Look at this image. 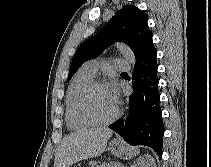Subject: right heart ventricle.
<instances>
[{"label": "right heart ventricle", "instance_id": "obj_1", "mask_svg": "<svg viewBox=\"0 0 211 167\" xmlns=\"http://www.w3.org/2000/svg\"><path fill=\"white\" fill-rule=\"evenodd\" d=\"M94 79V75L81 68L74 76L66 95V122L71 130H83L92 126L78 111V99L82 90Z\"/></svg>", "mask_w": 211, "mask_h": 167}]
</instances>
